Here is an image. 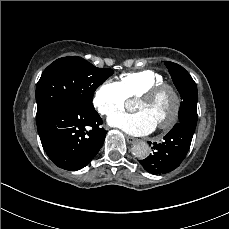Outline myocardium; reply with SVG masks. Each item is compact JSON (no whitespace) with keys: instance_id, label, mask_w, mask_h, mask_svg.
Instances as JSON below:
<instances>
[{"instance_id":"myocardium-1","label":"myocardium","mask_w":229,"mask_h":229,"mask_svg":"<svg viewBox=\"0 0 229 229\" xmlns=\"http://www.w3.org/2000/svg\"><path fill=\"white\" fill-rule=\"evenodd\" d=\"M166 90H170V114L167 115L165 118L166 123L156 125L157 128L161 131H168L172 129L181 118L184 101L179 90L173 84L165 82L148 89L144 94L139 96V99H146L151 101L155 100L159 95H161Z\"/></svg>"}]
</instances>
